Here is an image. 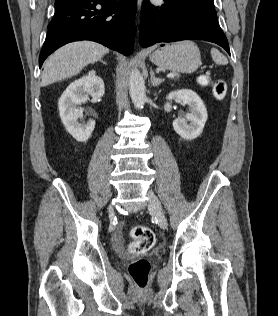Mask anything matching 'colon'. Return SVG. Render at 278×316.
<instances>
[{"instance_id":"obj_1","label":"colon","mask_w":278,"mask_h":316,"mask_svg":"<svg viewBox=\"0 0 278 316\" xmlns=\"http://www.w3.org/2000/svg\"><path fill=\"white\" fill-rule=\"evenodd\" d=\"M202 85L210 86L213 96L221 100L226 96L227 85L222 79H212L208 76L200 78ZM132 242L129 245V252L133 255H142L152 248L155 243L154 232L145 226L135 227L131 231ZM150 263L147 259L140 258L129 265V275L138 289H144L148 284L150 274Z\"/></svg>"}]
</instances>
